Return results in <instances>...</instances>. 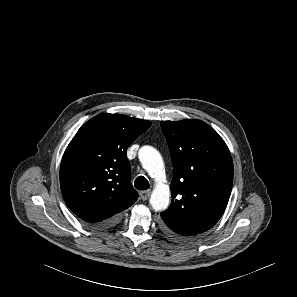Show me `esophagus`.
Here are the masks:
<instances>
[{"mask_svg": "<svg viewBox=\"0 0 297 297\" xmlns=\"http://www.w3.org/2000/svg\"><path fill=\"white\" fill-rule=\"evenodd\" d=\"M139 194H140L141 199L145 201L150 197L151 191L150 190H144V191H141Z\"/></svg>", "mask_w": 297, "mask_h": 297, "instance_id": "34e87169", "label": "esophagus"}]
</instances>
